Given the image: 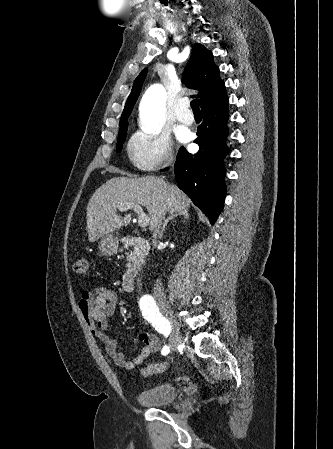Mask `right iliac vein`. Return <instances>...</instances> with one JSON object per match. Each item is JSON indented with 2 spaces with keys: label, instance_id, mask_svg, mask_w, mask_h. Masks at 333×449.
<instances>
[{
  "label": "right iliac vein",
  "instance_id": "1",
  "mask_svg": "<svg viewBox=\"0 0 333 449\" xmlns=\"http://www.w3.org/2000/svg\"><path fill=\"white\" fill-rule=\"evenodd\" d=\"M160 309L169 321L171 332L169 335V346L174 349L181 342V334L179 327L174 323L172 319V310L166 302H160Z\"/></svg>",
  "mask_w": 333,
  "mask_h": 449
}]
</instances>
